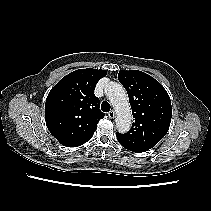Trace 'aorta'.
Listing matches in <instances>:
<instances>
[{
	"mask_svg": "<svg viewBox=\"0 0 211 211\" xmlns=\"http://www.w3.org/2000/svg\"><path fill=\"white\" fill-rule=\"evenodd\" d=\"M106 94L117 114L115 122L118 131L127 132L131 127L132 113L124 87L119 83L110 82L106 86Z\"/></svg>",
	"mask_w": 211,
	"mask_h": 211,
	"instance_id": "aorta-1",
	"label": "aorta"
}]
</instances>
